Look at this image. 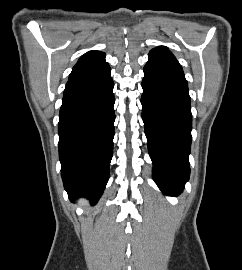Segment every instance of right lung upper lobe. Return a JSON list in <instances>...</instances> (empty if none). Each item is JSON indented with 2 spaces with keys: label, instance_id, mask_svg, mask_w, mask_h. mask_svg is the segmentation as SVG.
<instances>
[{
  "label": "right lung upper lobe",
  "instance_id": "right-lung-upper-lobe-1",
  "mask_svg": "<svg viewBox=\"0 0 242 270\" xmlns=\"http://www.w3.org/2000/svg\"><path fill=\"white\" fill-rule=\"evenodd\" d=\"M103 60H105V54L92 50L87 53H85L77 62V64L73 67V70L69 76V78H72L74 76H77L85 71H88L95 66H97L99 63H101Z\"/></svg>",
  "mask_w": 242,
  "mask_h": 270
}]
</instances>
